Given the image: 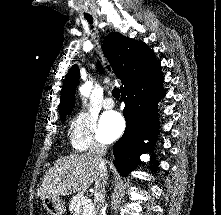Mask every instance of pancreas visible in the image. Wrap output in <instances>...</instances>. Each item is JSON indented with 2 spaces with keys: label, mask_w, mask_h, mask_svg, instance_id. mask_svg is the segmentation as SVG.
<instances>
[{
  "label": "pancreas",
  "mask_w": 221,
  "mask_h": 215,
  "mask_svg": "<svg viewBox=\"0 0 221 215\" xmlns=\"http://www.w3.org/2000/svg\"><path fill=\"white\" fill-rule=\"evenodd\" d=\"M84 200H86V197L83 193L73 196L69 205V210L73 215H95V206L92 201L83 205Z\"/></svg>",
  "instance_id": "1"
}]
</instances>
